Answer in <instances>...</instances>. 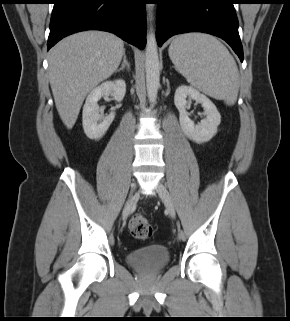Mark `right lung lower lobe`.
<instances>
[{
  "label": "right lung lower lobe",
  "mask_w": 290,
  "mask_h": 321,
  "mask_svg": "<svg viewBox=\"0 0 290 321\" xmlns=\"http://www.w3.org/2000/svg\"><path fill=\"white\" fill-rule=\"evenodd\" d=\"M145 3L149 0H54L48 50L62 38L84 30L108 31L143 49Z\"/></svg>",
  "instance_id": "obj_1"
}]
</instances>
